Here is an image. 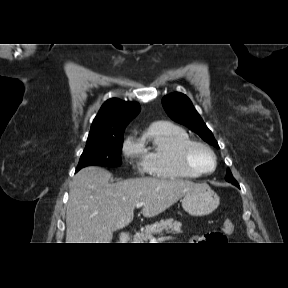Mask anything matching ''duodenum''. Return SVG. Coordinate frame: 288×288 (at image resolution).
<instances>
[{"instance_id":"duodenum-1","label":"duodenum","mask_w":288,"mask_h":288,"mask_svg":"<svg viewBox=\"0 0 288 288\" xmlns=\"http://www.w3.org/2000/svg\"><path fill=\"white\" fill-rule=\"evenodd\" d=\"M121 243H130L132 239V235H129L128 233H123L119 237Z\"/></svg>"}]
</instances>
